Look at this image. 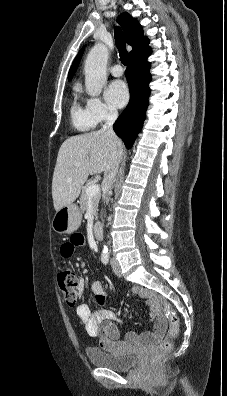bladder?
Instances as JSON below:
<instances>
[{
    "instance_id": "obj_1",
    "label": "bladder",
    "mask_w": 227,
    "mask_h": 396,
    "mask_svg": "<svg viewBox=\"0 0 227 396\" xmlns=\"http://www.w3.org/2000/svg\"><path fill=\"white\" fill-rule=\"evenodd\" d=\"M86 356L93 366L108 368L114 371H128L138 361V357L135 354H119L98 347L87 348Z\"/></svg>"
}]
</instances>
